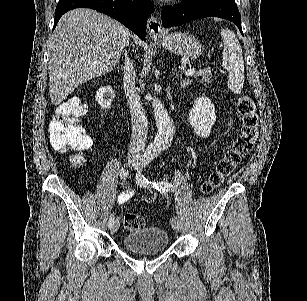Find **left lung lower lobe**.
Listing matches in <instances>:
<instances>
[{
  "mask_svg": "<svg viewBox=\"0 0 307 301\" xmlns=\"http://www.w3.org/2000/svg\"><path fill=\"white\" fill-rule=\"evenodd\" d=\"M211 16L232 21L242 33L241 16L233 0H189L175 6H165L161 12L165 28Z\"/></svg>",
  "mask_w": 307,
  "mask_h": 301,
  "instance_id": "left-lung-lower-lobe-1",
  "label": "left lung lower lobe"
}]
</instances>
